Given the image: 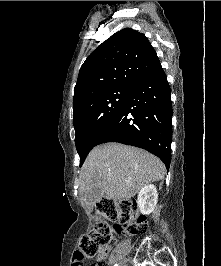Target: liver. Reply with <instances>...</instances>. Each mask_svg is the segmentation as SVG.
Here are the masks:
<instances>
[{
	"instance_id": "obj_1",
	"label": "liver",
	"mask_w": 221,
	"mask_h": 266,
	"mask_svg": "<svg viewBox=\"0 0 221 266\" xmlns=\"http://www.w3.org/2000/svg\"><path fill=\"white\" fill-rule=\"evenodd\" d=\"M165 165L139 148L107 143L91 150L81 170L80 192L100 187L108 199L128 200L140 188L163 179Z\"/></svg>"
}]
</instances>
